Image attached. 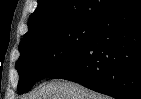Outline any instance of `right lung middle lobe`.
<instances>
[{"instance_id": "right-lung-middle-lobe-1", "label": "right lung middle lobe", "mask_w": 141, "mask_h": 99, "mask_svg": "<svg viewBox=\"0 0 141 99\" xmlns=\"http://www.w3.org/2000/svg\"><path fill=\"white\" fill-rule=\"evenodd\" d=\"M99 21H80L20 43L18 94L69 63L92 39Z\"/></svg>"}]
</instances>
